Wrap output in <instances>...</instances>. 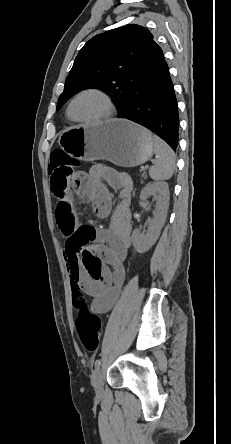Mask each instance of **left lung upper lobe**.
<instances>
[{"instance_id": "1", "label": "left lung upper lobe", "mask_w": 231, "mask_h": 444, "mask_svg": "<svg viewBox=\"0 0 231 444\" xmlns=\"http://www.w3.org/2000/svg\"><path fill=\"white\" fill-rule=\"evenodd\" d=\"M160 50L150 31L136 24L94 36L79 51L57 110L78 91L96 88L111 93L120 111L126 105L137 75Z\"/></svg>"}]
</instances>
